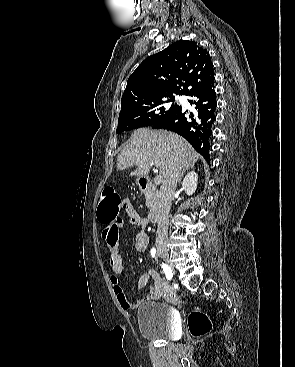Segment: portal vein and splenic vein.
<instances>
[{
    "mask_svg": "<svg viewBox=\"0 0 295 367\" xmlns=\"http://www.w3.org/2000/svg\"><path fill=\"white\" fill-rule=\"evenodd\" d=\"M163 181V177L161 175H157L154 179L155 184H160Z\"/></svg>",
    "mask_w": 295,
    "mask_h": 367,
    "instance_id": "obj_1",
    "label": "portal vein and splenic vein"
}]
</instances>
